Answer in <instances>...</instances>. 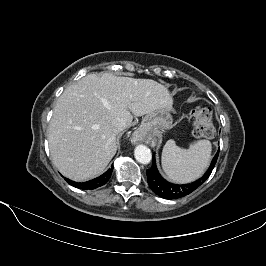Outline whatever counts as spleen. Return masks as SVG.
<instances>
[{
  "instance_id": "3e777b00",
  "label": "spleen",
  "mask_w": 266,
  "mask_h": 266,
  "mask_svg": "<svg viewBox=\"0 0 266 266\" xmlns=\"http://www.w3.org/2000/svg\"><path fill=\"white\" fill-rule=\"evenodd\" d=\"M212 145L208 140H199L183 149L174 140H168L162 151V168L166 175L179 183L198 179L210 163Z\"/></svg>"
}]
</instances>
